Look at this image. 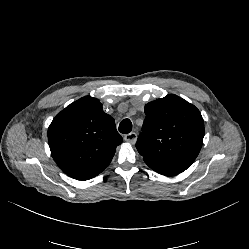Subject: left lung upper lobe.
Masks as SVG:
<instances>
[{"label":"left lung upper lobe","mask_w":249,"mask_h":249,"mask_svg":"<svg viewBox=\"0 0 249 249\" xmlns=\"http://www.w3.org/2000/svg\"><path fill=\"white\" fill-rule=\"evenodd\" d=\"M145 120L136 148L150 167L180 173L196 159L203 144L204 122L199 110L169 94L145 105Z\"/></svg>","instance_id":"obj_1"}]
</instances>
